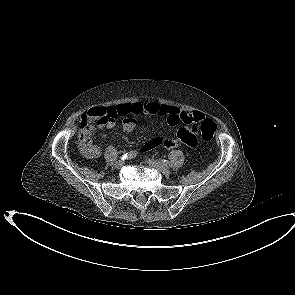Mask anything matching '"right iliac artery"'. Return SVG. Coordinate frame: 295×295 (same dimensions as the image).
<instances>
[{
  "label": "right iliac artery",
  "mask_w": 295,
  "mask_h": 295,
  "mask_svg": "<svg viewBox=\"0 0 295 295\" xmlns=\"http://www.w3.org/2000/svg\"><path fill=\"white\" fill-rule=\"evenodd\" d=\"M136 155H137V152H136V151H130V152H128V153L123 154V155L121 156V159H122V160H125V159H131V158H133V157H136Z\"/></svg>",
  "instance_id": "obj_1"
}]
</instances>
